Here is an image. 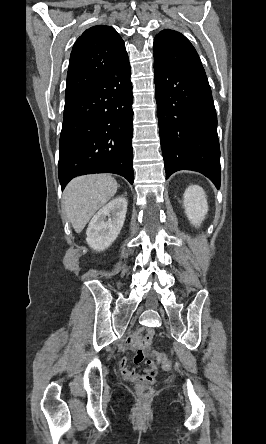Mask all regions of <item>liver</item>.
Returning a JSON list of instances; mask_svg holds the SVG:
<instances>
[{"label": "liver", "mask_w": 266, "mask_h": 444, "mask_svg": "<svg viewBox=\"0 0 266 444\" xmlns=\"http://www.w3.org/2000/svg\"><path fill=\"white\" fill-rule=\"evenodd\" d=\"M117 188L116 180L107 174L80 176L67 185L63 207L76 233L115 195Z\"/></svg>", "instance_id": "liver-1"}]
</instances>
